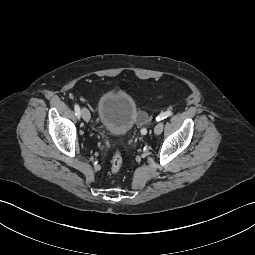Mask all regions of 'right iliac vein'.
I'll use <instances>...</instances> for the list:
<instances>
[{"instance_id": "1", "label": "right iliac vein", "mask_w": 255, "mask_h": 255, "mask_svg": "<svg viewBox=\"0 0 255 255\" xmlns=\"http://www.w3.org/2000/svg\"><path fill=\"white\" fill-rule=\"evenodd\" d=\"M81 116L85 121H89L90 120V112L87 108H82L81 109Z\"/></svg>"}]
</instances>
